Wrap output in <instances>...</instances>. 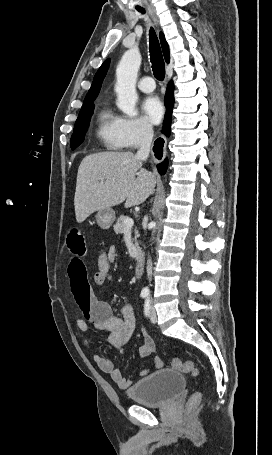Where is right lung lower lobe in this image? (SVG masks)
Here are the masks:
<instances>
[{"label":"right lung lower lobe","instance_id":"right-lung-lower-lobe-1","mask_svg":"<svg viewBox=\"0 0 272 455\" xmlns=\"http://www.w3.org/2000/svg\"><path fill=\"white\" fill-rule=\"evenodd\" d=\"M174 104V96H173V82H170L167 87V92L165 96V106L167 108V114L164 120V132L166 135L170 134V126H171V114ZM168 166V161L165 159L162 163L157 165L158 171L160 174H165Z\"/></svg>","mask_w":272,"mask_h":455}]
</instances>
